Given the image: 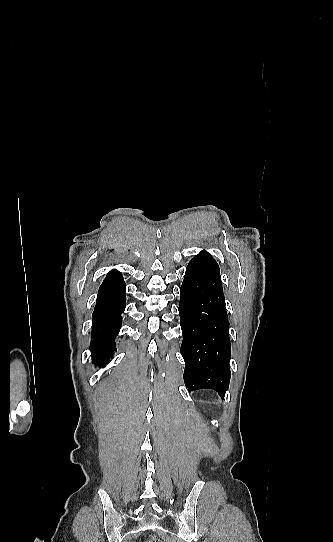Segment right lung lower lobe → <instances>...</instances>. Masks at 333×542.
Listing matches in <instances>:
<instances>
[{
    "label": "right lung lower lobe",
    "mask_w": 333,
    "mask_h": 542,
    "mask_svg": "<svg viewBox=\"0 0 333 542\" xmlns=\"http://www.w3.org/2000/svg\"><path fill=\"white\" fill-rule=\"evenodd\" d=\"M126 285L120 272L112 270L99 287L93 312L92 363L103 366L116 351L114 337L121 329V314L125 310Z\"/></svg>",
    "instance_id": "obj_1"
}]
</instances>
